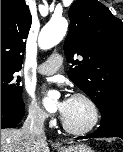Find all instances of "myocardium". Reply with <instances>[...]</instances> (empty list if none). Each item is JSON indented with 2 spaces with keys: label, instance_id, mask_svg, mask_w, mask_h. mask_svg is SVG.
<instances>
[{
  "label": "myocardium",
  "instance_id": "1",
  "mask_svg": "<svg viewBox=\"0 0 123 152\" xmlns=\"http://www.w3.org/2000/svg\"><path fill=\"white\" fill-rule=\"evenodd\" d=\"M71 98L80 99V100L86 102L87 105L91 109L92 118H91V121L89 122V124L83 128H73V127L69 126L62 119V122H61L62 127L67 133L72 134V135L83 136V135L89 134L97 127V125L100 121V117H101L100 109H99L97 103L94 101V99L85 93H80V92L75 93L72 95Z\"/></svg>",
  "mask_w": 123,
  "mask_h": 152
}]
</instances>
